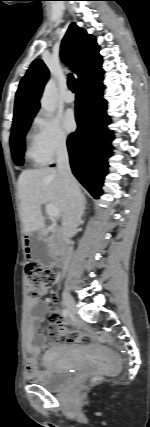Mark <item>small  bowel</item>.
Instances as JSON below:
<instances>
[{
	"label": "small bowel",
	"mask_w": 150,
	"mask_h": 427,
	"mask_svg": "<svg viewBox=\"0 0 150 427\" xmlns=\"http://www.w3.org/2000/svg\"><path fill=\"white\" fill-rule=\"evenodd\" d=\"M48 303L49 300L29 301L26 331V350L29 355L27 360V373L29 379H42L46 376V373L40 372L36 367V360L41 353L43 344V337L36 332V327L48 312L50 313L49 319L54 323V326L49 330V338L51 341L64 337L68 342L79 346L89 343V339L85 336H81L74 325L69 324L60 317L57 308H52L49 311Z\"/></svg>",
	"instance_id": "obj_1"
}]
</instances>
